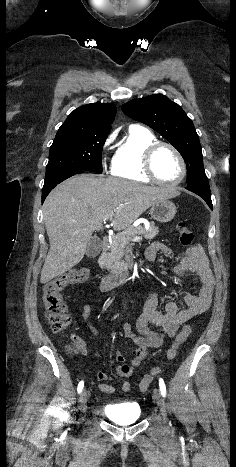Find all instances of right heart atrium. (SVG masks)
<instances>
[{"label": "right heart atrium", "mask_w": 236, "mask_h": 467, "mask_svg": "<svg viewBox=\"0 0 236 467\" xmlns=\"http://www.w3.org/2000/svg\"><path fill=\"white\" fill-rule=\"evenodd\" d=\"M112 141H113V136H109L104 142V145H103L104 149H107L109 145L112 143Z\"/></svg>", "instance_id": "d8ad5b80"}]
</instances>
